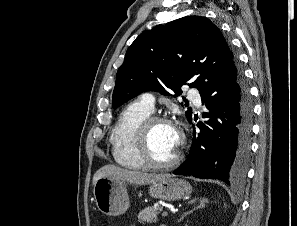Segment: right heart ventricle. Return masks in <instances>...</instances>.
<instances>
[{
  "label": "right heart ventricle",
  "instance_id": "right-heart-ventricle-1",
  "mask_svg": "<svg viewBox=\"0 0 297 226\" xmlns=\"http://www.w3.org/2000/svg\"><path fill=\"white\" fill-rule=\"evenodd\" d=\"M140 100L131 102L120 113L111 132L112 156L128 169H142L145 164L136 152L135 137L139 125L152 114Z\"/></svg>",
  "mask_w": 297,
  "mask_h": 226
}]
</instances>
